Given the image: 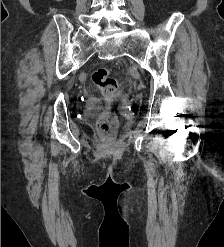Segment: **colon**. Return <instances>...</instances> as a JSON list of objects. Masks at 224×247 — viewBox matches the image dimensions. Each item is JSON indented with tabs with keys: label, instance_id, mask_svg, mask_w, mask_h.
I'll return each mask as SVG.
<instances>
[{
	"label": "colon",
	"instance_id": "1",
	"mask_svg": "<svg viewBox=\"0 0 224 247\" xmlns=\"http://www.w3.org/2000/svg\"><path fill=\"white\" fill-rule=\"evenodd\" d=\"M93 83L99 88L102 95L109 103L117 101L121 96V90L116 79L110 75L106 67H100L92 74ZM116 125V116L108 110L98 122V129L102 133H110Z\"/></svg>",
	"mask_w": 224,
	"mask_h": 247
}]
</instances>
